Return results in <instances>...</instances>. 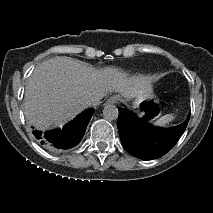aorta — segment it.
<instances>
[{
    "instance_id": "1",
    "label": "aorta",
    "mask_w": 213,
    "mask_h": 213,
    "mask_svg": "<svg viewBox=\"0 0 213 213\" xmlns=\"http://www.w3.org/2000/svg\"><path fill=\"white\" fill-rule=\"evenodd\" d=\"M119 111L118 108L113 104H108L103 109V116L109 121L116 120L118 118Z\"/></svg>"
}]
</instances>
